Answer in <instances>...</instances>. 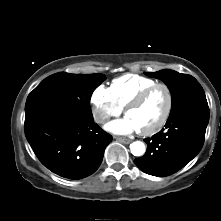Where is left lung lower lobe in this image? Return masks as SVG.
<instances>
[{
  "label": "left lung lower lobe",
  "mask_w": 221,
  "mask_h": 221,
  "mask_svg": "<svg viewBox=\"0 0 221 221\" xmlns=\"http://www.w3.org/2000/svg\"><path fill=\"white\" fill-rule=\"evenodd\" d=\"M209 121L206 97L187 101L170 113L165 129L146 138L147 151L134 160L143 172L165 177L189 163L201 150Z\"/></svg>",
  "instance_id": "left-lung-lower-lobe-1"
}]
</instances>
